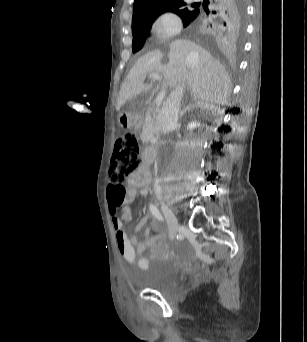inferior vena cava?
I'll return each instance as SVG.
<instances>
[{
  "instance_id": "inferior-vena-cava-1",
  "label": "inferior vena cava",
  "mask_w": 307,
  "mask_h": 342,
  "mask_svg": "<svg viewBox=\"0 0 307 342\" xmlns=\"http://www.w3.org/2000/svg\"><path fill=\"white\" fill-rule=\"evenodd\" d=\"M191 56L193 54H190V58ZM184 88L183 82H179L175 90H172L171 94H169L166 102L163 104V108L160 110L159 126L162 134H168L178 124L179 108L184 96ZM154 190L155 192H161L162 188L159 180H156Z\"/></svg>"
}]
</instances>
